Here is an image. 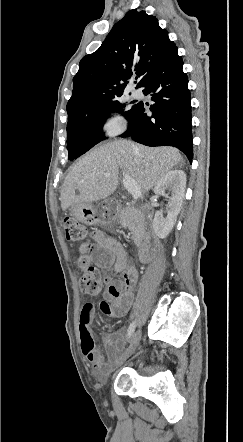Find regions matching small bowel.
Instances as JSON below:
<instances>
[{
    "instance_id": "c3829d8e",
    "label": "small bowel",
    "mask_w": 243,
    "mask_h": 442,
    "mask_svg": "<svg viewBox=\"0 0 243 442\" xmlns=\"http://www.w3.org/2000/svg\"><path fill=\"white\" fill-rule=\"evenodd\" d=\"M97 244L93 251L92 261L102 267L111 268L120 275V279L106 278L107 288L103 292V300L99 303L100 311L109 318L124 317L134 299V286L138 281V271L131 263L123 246L102 230L91 233ZM96 306L93 302H85L79 313V333L81 349L85 359L92 365L99 377L105 376L110 370V361L117 357L118 347L122 341L121 334L104 339V347L108 356L95 345L91 324L95 316Z\"/></svg>"
}]
</instances>
